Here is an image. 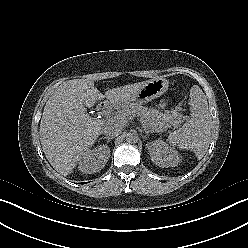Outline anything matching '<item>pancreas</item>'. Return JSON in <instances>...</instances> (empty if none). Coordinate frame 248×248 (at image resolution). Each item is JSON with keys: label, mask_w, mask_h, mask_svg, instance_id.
<instances>
[{"label": "pancreas", "mask_w": 248, "mask_h": 248, "mask_svg": "<svg viewBox=\"0 0 248 248\" xmlns=\"http://www.w3.org/2000/svg\"><path fill=\"white\" fill-rule=\"evenodd\" d=\"M130 116L140 117L142 123L151 131L162 132L166 128L177 127L181 122L179 114L163 115L158 110L139 104H131L113 113L111 121L124 125Z\"/></svg>", "instance_id": "obj_1"}]
</instances>
